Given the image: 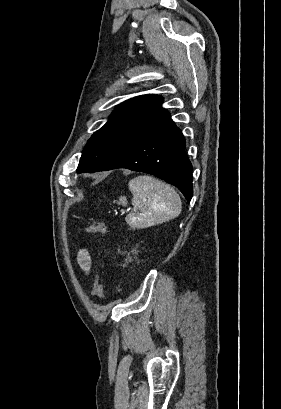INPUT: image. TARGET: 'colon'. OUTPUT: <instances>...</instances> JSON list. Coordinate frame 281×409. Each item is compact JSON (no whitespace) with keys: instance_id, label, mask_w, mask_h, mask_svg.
<instances>
[{"instance_id":"1","label":"colon","mask_w":281,"mask_h":409,"mask_svg":"<svg viewBox=\"0 0 281 409\" xmlns=\"http://www.w3.org/2000/svg\"><path fill=\"white\" fill-rule=\"evenodd\" d=\"M86 230L101 236L107 232L106 225L97 219H89L86 223ZM93 295L98 302L104 299V279L101 274H97L96 276Z\"/></svg>"}]
</instances>
